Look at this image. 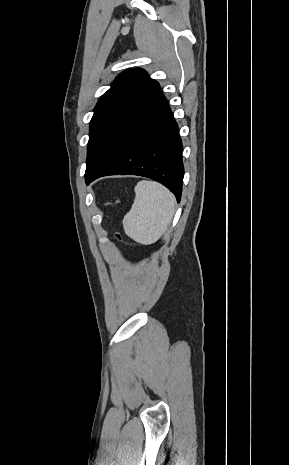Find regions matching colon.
Masks as SVG:
<instances>
[{"label": "colon", "instance_id": "obj_1", "mask_svg": "<svg viewBox=\"0 0 289 465\" xmlns=\"http://www.w3.org/2000/svg\"><path fill=\"white\" fill-rule=\"evenodd\" d=\"M116 236H117V238H118L119 240H122L121 234H117Z\"/></svg>", "mask_w": 289, "mask_h": 465}]
</instances>
